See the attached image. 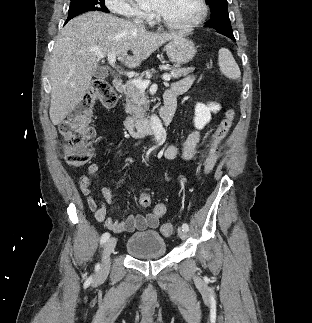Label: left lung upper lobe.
<instances>
[{
    "mask_svg": "<svg viewBox=\"0 0 312 323\" xmlns=\"http://www.w3.org/2000/svg\"><path fill=\"white\" fill-rule=\"evenodd\" d=\"M210 6L211 18L206 22L205 27L213 28L219 33L233 35L228 15L227 0H205Z\"/></svg>",
    "mask_w": 312,
    "mask_h": 323,
    "instance_id": "obj_1",
    "label": "left lung upper lobe"
}]
</instances>
